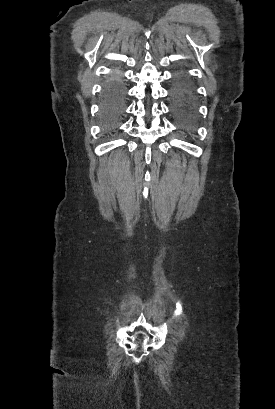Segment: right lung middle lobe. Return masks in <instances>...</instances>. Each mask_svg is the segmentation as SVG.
Listing matches in <instances>:
<instances>
[{"label":"right lung middle lobe","instance_id":"1","mask_svg":"<svg viewBox=\"0 0 275 409\" xmlns=\"http://www.w3.org/2000/svg\"><path fill=\"white\" fill-rule=\"evenodd\" d=\"M125 89L119 76L112 77L105 86L102 117L107 129H113L122 117Z\"/></svg>","mask_w":275,"mask_h":409}]
</instances>
